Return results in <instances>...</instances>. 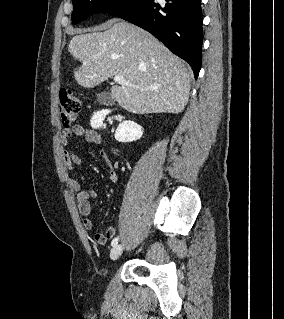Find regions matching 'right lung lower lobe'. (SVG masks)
Instances as JSON below:
<instances>
[{
    "instance_id": "right-lung-lower-lobe-1",
    "label": "right lung lower lobe",
    "mask_w": 284,
    "mask_h": 319,
    "mask_svg": "<svg viewBox=\"0 0 284 319\" xmlns=\"http://www.w3.org/2000/svg\"><path fill=\"white\" fill-rule=\"evenodd\" d=\"M108 13L153 34L190 64L197 79L203 43L201 0H131Z\"/></svg>"
}]
</instances>
